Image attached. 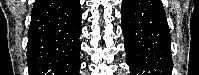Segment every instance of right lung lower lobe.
Instances as JSON below:
<instances>
[{
  "label": "right lung lower lobe",
  "mask_w": 199,
  "mask_h": 75,
  "mask_svg": "<svg viewBox=\"0 0 199 75\" xmlns=\"http://www.w3.org/2000/svg\"><path fill=\"white\" fill-rule=\"evenodd\" d=\"M79 0H36L28 30L29 75H79Z\"/></svg>",
  "instance_id": "98d812e1"
}]
</instances>
